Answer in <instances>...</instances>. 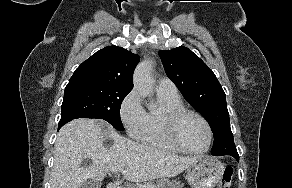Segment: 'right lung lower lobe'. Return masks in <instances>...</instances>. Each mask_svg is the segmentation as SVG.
<instances>
[{
	"mask_svg": "<svg viewBox=\"0 0 292 188\" xmlns=\"http://www.w3.org/2000/svg\"><path fill=\"white\" fill-rule=\"evenodd\" d=\"M71 121V119H66L64 121H60L59 124H58V130L64 125L66 124L67 122Z\"/></svg>",
	"mask_w": 292,
	"mask_h": 188,
	"instance_id": "obj_1",
	"label": "right lung lower lobe"
}]
</instances>
